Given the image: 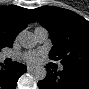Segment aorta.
<instances>
[{
	"mask_svg": "<svg viewBox=\"0 0 89 89\" xmlns=\"http://www.w3.org/2000/svg\"><path fill=\"white\" fill-rule=\"evenodd\" d=\"M18 40L22 47L26 49L34 48L37 44V39L32 32L29 31H22L19 36ZM47 71L43 66L37 67L33 72L32 76L35 80L40 81L46 77Z\"/></svg>",
	"mask_w": 89,
	"mask_h": 89,
	"instance_id": "aorta-1",
	"label": "aorta"
}]
</instances>
